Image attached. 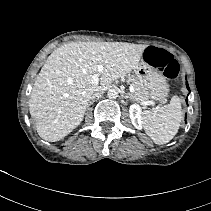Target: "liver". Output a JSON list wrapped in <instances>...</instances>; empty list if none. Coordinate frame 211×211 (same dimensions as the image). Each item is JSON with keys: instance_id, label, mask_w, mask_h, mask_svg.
<instances>
[{"instance_id": "1", "label": "liver", "mask_w": 211, "mask_h": 211, "mask_svg": "<svg viewBox=\"0 0 211 211\" xmlns=\"http://www.w3.org/2000/svg\"><path fill=\"white\" fill-rule=\"evenodd\" d=\"M146 48L126 42H70L57 48L30 95L29 111L39 136L56 142L72 132L83 120L91 95L135 69ZM99 65L100 84H93Z\"/></svg>"}]
</instances>
